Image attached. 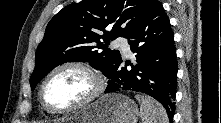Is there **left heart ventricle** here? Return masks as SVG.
<instances>
[{
    "mask_svg": "<svg viewBox=\"0 0 221 123\" xmlns=\"http://www.w3.org/2000/svg\"><path fill=\"white\" fill-rule=\"evenodd\" d=\"M93 88L94 81L86 73L65 69L51 77L46 85L45 97L50 105L65 108L85 99Z\"/></svg>",
    "mask_w": 221,
    "mask_h": 123,
    "instance_id": "obj_1",
    "label": "left heart ventricle"
}]
</instances>
